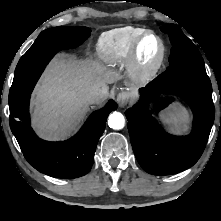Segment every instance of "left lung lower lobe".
<instances>
[{"label": "left lung lower lobe", "mask_w": 221, "mask_h": 221, "mask_svg": "<svg viewBox=\"0 0 221 221\" xmlns=\"http://www.w3.org/2000/svg\"><path fill=\"white\" fill-rule=\"evenodd\" d=\"M139 103L126 110L134 154L141 167L154 175H170L193 166L202 155L214 121L212 86L206 73L167 69L141 88ZM161 93L182 97L194 113L190 135L166 133L148 111L150 101Z\"/></svg>", "instance_id": "obj_1"}]
</instances>
